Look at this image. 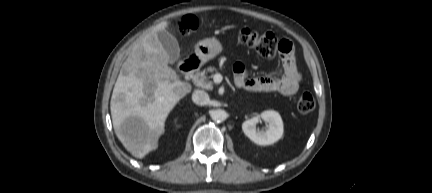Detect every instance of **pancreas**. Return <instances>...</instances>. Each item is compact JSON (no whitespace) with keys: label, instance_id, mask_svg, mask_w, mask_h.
<instances>
[{"label":"pancreas","instance_id":"obj_1","mask_svg":"<svg viewBox=\"0 0 432 193\" xmlns=\"http://www.w3.org/2000/svg\"><path fill=\"white\" fill-rule=\"evenodd\" d=\"M217 72L215 67H208L202 71H198L193 75V82L196 86L201 87L203 89L212 90L213 83L212 81H208L207 73Z\"/></svg>","mask_w":432,"mask_h":193}]
</instances>
